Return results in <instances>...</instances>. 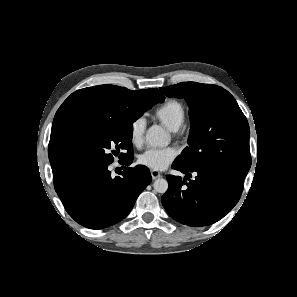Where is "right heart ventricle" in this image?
<instances>
[{"label": "right heart ventricle", "instance_id": "obj_1", "mask_svg": "<svg viewBox=\"0 0 297 297\" xmlns=\"http://www.w3.org/2000/svg\"><path fill=\"white\" fill-rule=\"evenodd\" d=\"M154 116L167 128L175 131L185 122V108L180 101L170 99L154 111Z\"/></svg>", "mask_w": 297, "mask_h": 297}]
</instances>
